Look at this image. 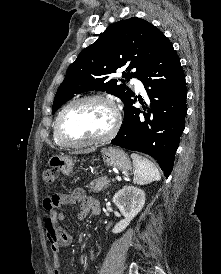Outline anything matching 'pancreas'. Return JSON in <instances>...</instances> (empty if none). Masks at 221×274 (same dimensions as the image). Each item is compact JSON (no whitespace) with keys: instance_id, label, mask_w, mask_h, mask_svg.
<instances>
[{"instance_id":"1","label":"pancreas","mask_w":221,"mask_h":274,"mask_svg":"<svg viewBox=\"0 0 221 274\" xmlns=\"http://www.w3.org/2000/svg\"><path fill=\"white\" fill-rule=\"evenodd\" d=\"M109 183L110 179L108 177H100L92 181L89 185L86 186V188H89L90 191L98 192L108 187Z\"/></svg>"}]
</instances>
